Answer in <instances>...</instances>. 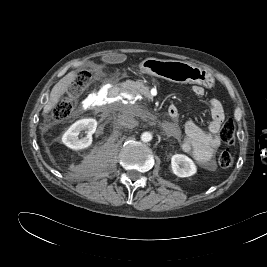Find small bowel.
Here are the masks:
<instances>
[{
    "label": "small bowel",
    "instance_id": "1",
    "mask_svg": "<svg viewBox=\"0 0 267 267\" xmlns=\"http://www.w3.org/2000/svg\"><path fill=\"white\" fill-rule=\"evenodd\" d=\"M192 92L199 98L205 95V90L201 86H193ZM209 110L211 120L208 125V132L203 131L193 121L186 122L182 149L191 154L202 167L213 170L215 168L214 156L221 144L218 133L225 119V114L221 102L217 99L209 101Z\"/></svg>",
    "mask_w": 267,
    "mask_h": 267
}]
</instances>
